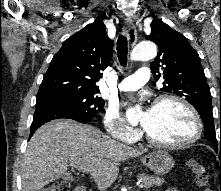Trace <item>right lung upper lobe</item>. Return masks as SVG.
<instances>
[{"label":"right lung upper lobe","mask_w":221,"mask_h":191,"mask_svg":"<svg viewBox=\"0 0 221 191\" xmlns=\"http://www.w3.org/2000/svg\"><path fill=\"white\" fill-rule=\"evenodd\" d=\"M113 55L102 18L64 41L40 85L37 101L70 94L99 93L96 82Z\"/></svg>","instance_id":"cb5924a9"}]
</instances>
